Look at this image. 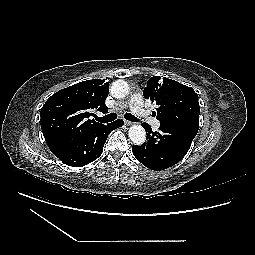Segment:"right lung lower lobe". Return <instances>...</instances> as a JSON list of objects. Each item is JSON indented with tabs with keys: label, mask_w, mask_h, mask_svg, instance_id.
Listing matches in <instances>:
<instances>
[{
	"label": "right lung lower lobe",
	"mask_w": 255,
	"mask_h": 255,
	"mask_svg": "<svg viewBox=\"0 0 255 255\" xmlns=\"http://www.w3.org/2000/svg\"><path fill=\"white\" fill-rule=\"evenodd\" d=\"M123 124V120H116L108 125L103 124L91 128L75 138L56 156L66 165L85 166L102 154L103 146L110 132Z\"/></svg>",
	"instance_id": "98d812e1"
}]
</instances>
